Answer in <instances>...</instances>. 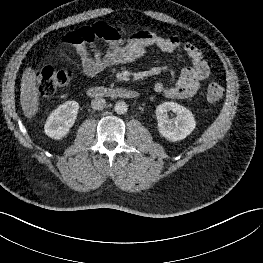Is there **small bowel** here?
Instances as JSON below:
<instances>
[{
  "label": "small bowel",
  "instance_id": "1",
  "mask_svg": "<svg viewBox=\"0 0 263 263\" xmlns=\"http://www.w3.org/2000/svg\"><path fill=\"white\" fill-rule=\"evenodd\" d=\"M63 40L73 46L79 55V61L66 53L61 57L74 65L86 77H94L105 68L131 63L143 57L149 47L155 46L163 52L171 53L182 49L191 61L184 68L177 81L168 86L164 81L154 85V91L171 99H185L194 96L200 82L210 73V67L201 51L192 43L178 36L162 37L148 30L126 35L118 26L98 22L92 26H83L68 32ZM100 41L105 43L102 48Z\"/></svg>",
  "mask_w": 263,
  "mask_h": 263
}]
</instances>
